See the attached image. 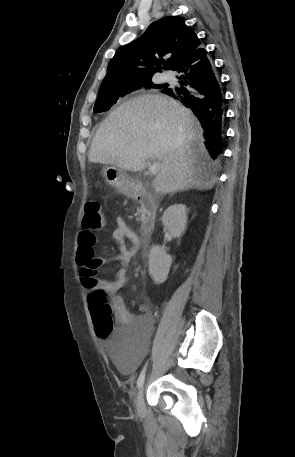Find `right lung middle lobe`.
<instances>
[{
  "label": "right lung middle lobe",
  "instance_id": "obj_1",
  "mask_svg": "<svg viewBox=\"0 0 295 457\" xmlns=\"http://www.w3.org/2000/svg\"><path fill=\"white\" fill-rule=\"evenodd\" d=\"M167 87L168 86L166 84L157 85V84H154L152 82V80H147V81L141 82L138 85L125 86V87H120V88H116L113 90L99 91L98 98L94 105L93 110L95 113L107 111L115 103H117L123 96L131 93L132 91L140 89V88H157V89L164 90Z\"/></svg>",
  "mask_w": 295,
  "mask_h": 457
}]
</instances>
